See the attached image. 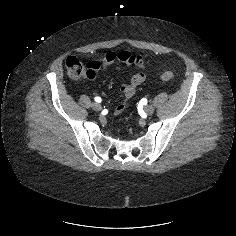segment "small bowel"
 Instances as JSON below:
<instances>
[{
    "label": "small bowel",
    "mask_w": 236,
    "mask_h": 236,
    "mask_svg": "<svg viewBox=\"0 0 236 236\" xmlns=\"http://www.w3.org/2000/svg\"><path fill=\"white\" fill-rule=\"evenodd\" d=\"M115 61H121L137 70L132 76L130 83L120 82L118 84L120 95L124 99H130L134 95L136 88L146 79V74L144 72L146 63L141 55H134L129 51L107 52L100 60H93L87 63V67L92 72L90 79H94L99 71L106 69ZM126 109V104L120 102L113 109V114L118 116Z\"/></svg>",
    "instance_id": "1"
}]
</instances>
